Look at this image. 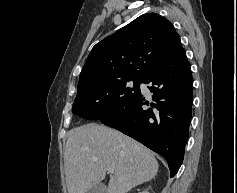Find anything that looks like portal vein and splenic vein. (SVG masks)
Wrapping results in <instances>:
<instances>
[{"label": "portal vein and splenic vein", "mask_w": 237, "mask_h": 193, "mask_svg": "<svg viewBox=\"0 0 237 193\" xmlns=\"http://www.w3.org/2000/svg\"><path fill=\"white\" fill-rule=\"evenodd\" d=\"M108 172L113 174L114 173V169L113 168H108Z\"/></svg>", "instance_id": "18ae733b"}]
</instances>
